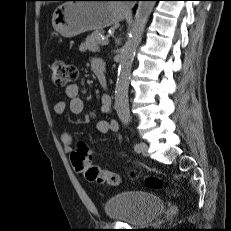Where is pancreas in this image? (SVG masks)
<instances>
[{"mask_svg":"<svg viewBox=\"0 0 231 231\" xmlns=\"http://www.w3.org/2000/svg\"><path fill=\"white\" fill-rule=\"evenodd\" d=\"M102 32H94L91 35L87 36L85 42L81 43L79 50L82 52L90 51L97 52L100 49V45L102 40L100 39V35Z\"/></svg>","mask_w":231,"mask_h":231,"instance_id":"obj_1","label":"pancreas"}]
</instances>
